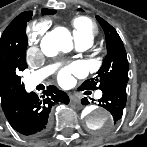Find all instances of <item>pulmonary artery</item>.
<instances>
[{"label": "pulmonary artery", "instance_id": "obj_1", "mask_svg": "<svg viewBox=\"0 0 147 147\" xmlns=\"http://www.w3.org/2000/svg\"><path fill=\"white\" fill-rule=\"evenodd\" d=\"M75 45H76V48L78 50H86L90 46L89 43L83 42V41H76ZM49 71H50V68L46 67V68L40 69L37 72L31 74L27 78L28 87L33 88L36 85H38L40 82H42L47 77V75L49 74ZM101 96H102V92L98 91L96 93V97L100 98Z\"/></svg>", "mask_w": 147, "mask_h": 147}]
</instances>
